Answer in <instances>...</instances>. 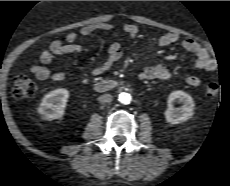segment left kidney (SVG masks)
<instances>
[{
	"label": "left kidney",
	"mask_w": 230,
	"mask_h": 186,
	"mask_svg": "<svg viewBox=\"0 0 230 186\" xmlns=\"http://www.w3.org/2000/svg\"><path fill=\"white\" fill-rule=\"evenodd\" d=\"M178 101L183 104L181 108H174L173 103ZM168 107L164 113L166 120L171 124H178L187 121L194 115V101L184 91H173L168 96Z\"/></svg>",
	"instance_id": "5707ae66"
}]
</instances>
